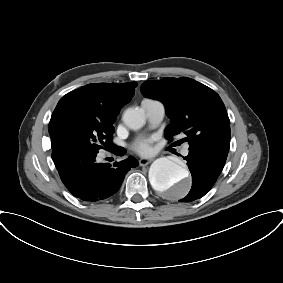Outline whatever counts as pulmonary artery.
<instances>
[{"instance_id":"1","label":"pulmonary artery","mask_w":283,"mask_h":283,"mask_svg":"<svg viewBox=\"0 0 283 283\" xmlns=\"http://www.w3.org/2000/svg\"><path fill=\"white\" fill-rule=\"evenodd\" d=\"M141 106L146 113L148 123L151 127L157 126L164 118L165 106L161 101L144 99ZM189 152V145H186L182 154L187 155Z\"/></svg>"}]
</instances>
